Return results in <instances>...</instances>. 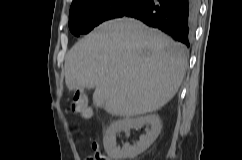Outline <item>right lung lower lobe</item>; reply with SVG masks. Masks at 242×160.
I'll return each instance as SVG.
<instances>
[{
	"mask_svg": "<svg viewBox=\"0 0 242 160\" xmlns=\"http://www.w3.org/2000/svg\"><path fill=\"white\" fill-rule=\"evenodd\" d=\"M199 0H144L123 16L141 20L190 46Z\"/></svg>",
	"mask_w": 242,
	"mask_h": 160,
	"instance_id": "right-lung-lower-lobe-1",
	"label": "right lung lower lobe"
}]
</instances>
